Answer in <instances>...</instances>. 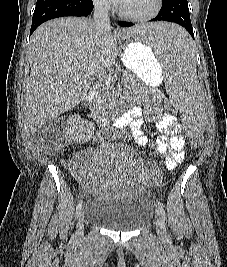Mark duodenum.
Segmentation results:
<instances>
[{"label": "duodenum", "mask_w": 227, "mask_h": 267, "mask_svg": "<svg viewBox=\"0 0 227 267\" xmlns=\"http://www.w3.org/2000/svg\"><path fill=\"white\" fill-rule=\"evenodd\" d=\"M85 102L87 109L92 114V116L100 122L108 121L111 119V116L107 111L98 107L96 104V92L93 89H90L86 96Z\"/></svg>", "instance_id": "1"}]
</instances>
